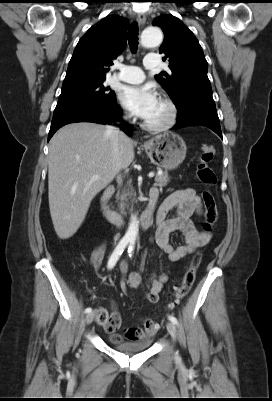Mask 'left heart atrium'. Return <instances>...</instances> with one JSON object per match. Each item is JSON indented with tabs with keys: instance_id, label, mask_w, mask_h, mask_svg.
I'll list each match as a JSON object with an SVG mask.
<instances>
[{
	"instance_id": "39dd6f15",
	"label": "left heart atrium",
	"mask_w": 272,
	"mask_h": 401,
	"mask_svg": "<svg viewBox=\"0 0 272 401\" xmlns=\"http://www.w3.org/2000/svg\"><path fill=\"white\" fill-rule=\"evenodd\" d=\"M119 99L124 106L144 120L153 112L159 100L155 88L149 84L124 86Z\"/></svg>"
}]
</instances>
